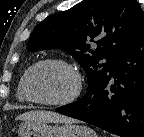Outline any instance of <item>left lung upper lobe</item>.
<instances>
[{
	"label": "left lung upper lobe",
	"mask_w": 144,
	"mask_h": 137,
	"mask_svg": "<svg viewBox=\"0 0 144 137\" xmlns=\"http://www.w3.org/2000/svg\"><path fill=\"white\" fill-rule=\"evenodd\" d=\"M143 26L144 12L136 0H84L39 23L27 49L68 52L84 68L88 92L101 82L109 65L134 42ZM91 42L97 44L96 50ZM102 59L107 62L100 64Z\"/></svg>",
	"instance_id": "left-lung-upper-lobe-1"
}]
</instances>
